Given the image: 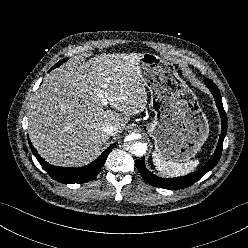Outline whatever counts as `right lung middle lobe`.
I'll return each instance as SVG.
<instances>
[{"instance_id": "1", "label": "right lung middle lobe", "mask_w": 248, "mask_h": 248, "mask_svg": "<svg viewBox=\"0 0 248 248\" xmlns=\"http://www.w3.org/2000/svg\"><path fill=\"white\" fill-rule=\"evenodd\" d=\"M67 60V58L66 59H63L62 61H60V62H58L54 67H57V66H59V65H61L63 62H65Z\"/></svg>"}]
</instances>
